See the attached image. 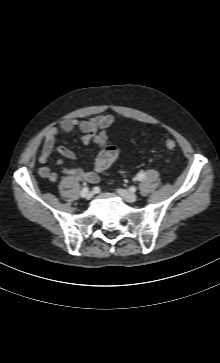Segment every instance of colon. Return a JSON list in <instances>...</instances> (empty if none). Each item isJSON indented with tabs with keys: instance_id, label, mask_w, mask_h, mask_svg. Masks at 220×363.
I'll return each mask as SVG.
<instances>
[{
	"instance_id": "1",
	"label": "colon",
	"mask_w": 220,
	"mask_h": 363,
	"mask_svg": "<svg viewBox=\"0 0 220 363\" xmlns=\"http://www.w3.org/2000/svg\"><path fill=\"white\" fill-rule=\"evenodd\" d=\"M167 150L173 151L176 149V142L172 138H167L164 142ZM118 157V150L115 146H107L103 152V166H109Z\"/></svg>"
}]
</instances>
